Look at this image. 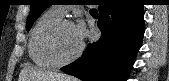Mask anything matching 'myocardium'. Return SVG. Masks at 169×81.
<instances>
[{"label":"myocardium","instance_id":"f54148a6","mask_svg":"<svg viewBox=\"0 0 169 81\" xmlns=\"http://www.w3.org/2000/svg\"><path fill=\"white\" fill-rule=\"evenodd\" d=\"M65 25L73 26V22L69 19H61L51 28V30L49 31L47 35V39H46L47 54L57 66H64V65H67L75 61L76 59L80 57L84 49V45L83 43H81L79 49L69 58L63 59L59 56L57 52L56 41H57V36H58L59 31Z\"/></svg>","mask_w":169,"mask_h":81}]
</instances>
